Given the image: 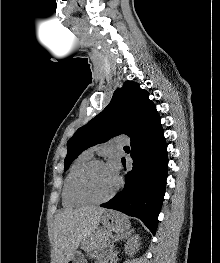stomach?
I'll use <instances>...</instances> for the list:
<instances>
[{
  "instance_id": "0dacf381",
  "label": "stomach",
  "mask_w": 220,
  "mask_h": 263,
  "mask_svg": "<svg viewBox=\"0 0 220 263\" xmlns=\"http://www.w3.org/2000/svg\"><path fill=\"white\" fill-rule=\"evenodd\" d=\"M103 229L110 232L123 233L130 228V222L123 214L115 211L106 212L101 217ZM68 263H86V259L80 251H75Z\"/></svg>"
}]
</instances>
